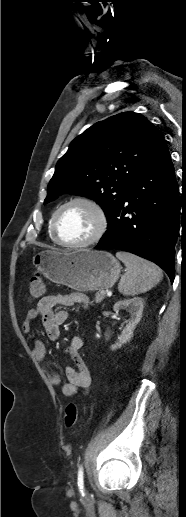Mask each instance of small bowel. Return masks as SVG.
I'll return each mask as SVG.
<instances>
[{
  "mask_svg": "<svg viewBox=\"0 0 186 517\" xmlns=\"http://www.w3.org/2000/svg\"><path fill=\"white\" fill-rule=\"evenodd\" d=\"M82 305L88 307L89 298L79 292L69 294H57L43 297L38 304L31 308L22 324V330L28 334L31 332L32 323L39 317L42 320L47 337L51 341H56L60 337L59 327L64 324L68 318V312L65 310H55L56 306H74ZM83 346V340L80 336H73L70 344L65 349L66 353L71 357L72 361L78 368L77 370L71 366L65 368V376L67 381L64 382L61 376L49 367L44 366L49 383L53 387H60L64 396L72 397L76 395L79 388L87 393L92 385V375L79 351ZM33 352L37 360L43 361L47 354V349L43 341L35 340Z\"/></svg>",
  "mask_w": 186,
  "mask_h": 517,
  "instance_id": "c3829d8e",
  "label": "small bowel"
}]
</instances>
